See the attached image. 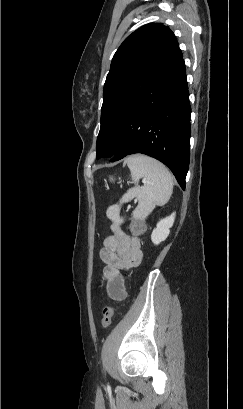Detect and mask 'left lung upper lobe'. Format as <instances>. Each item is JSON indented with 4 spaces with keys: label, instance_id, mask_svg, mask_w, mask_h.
Here are the masks:
<instances>
[{
    "label": "left lung upper lobe",
    "instance_id": "1",
    "mask_svg": "<svg viewBox=\"0 0 243 409\" xmlns=\"http://www.w3.org/2000/svg\"><path fill=\"white\" fill-rule=\"evenodd\" d=\"M177 48L173 32L162 23H150L137 29L120 45L104 84L97 158H112L127 116L150 80Z\"/></svg>",
    "mask_w": 243,
    "mask_h": 409
}]
</instances>
